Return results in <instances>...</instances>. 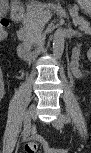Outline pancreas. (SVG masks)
<instances>
[{"instance_id": "obj_1", "label": "pancreas", "mask_w": 91, "mask_h": 153, "mask_svg": "<svg viewBox=\"0 0 91 153\" xmlns=\"http://www.w3.org/2000/svg\"><path fill=\"white\" fill-rule=\"evenodd\" d=\"M70 14L73 18V23L78 24L80 29L85 31V33H90V25L84 20V18L79 17L77 10L71 9ZM44 23V11L40 7H36V10L31 12L25 19L24 26L21 28V33L23 34L24 40L28 43H33L36 34L41 30Z\"/></svg>"}]
</instances>
